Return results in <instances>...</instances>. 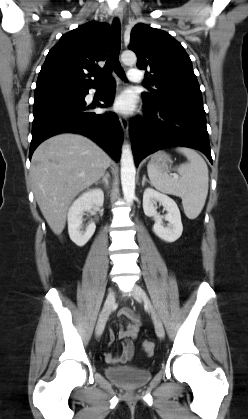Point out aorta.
Returning <instances> with one entry per match:
<instances>
[{
    "label": "aorta",
    "instance_id": "1",
    "mask_svg": "<svg viewBox=\"0 0 248 419\" xmlns=\"http://www.w3.org/2000/svg\"><path fill=\"white\" fill-rule=\"evenodd\" d=\"M121 60L125 65L131 66L136 63L137 57L132 51H124ZM135 175L132 151L128 144H124L121 152V184L124 199L128 204H131L135 198Z\"/></svg>",
    "mask_w": 248,
    "mask_h": 419
}]
</instances>
